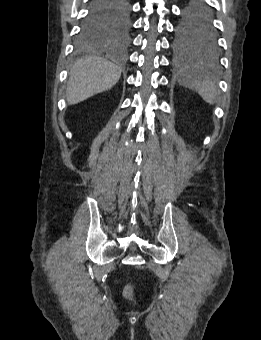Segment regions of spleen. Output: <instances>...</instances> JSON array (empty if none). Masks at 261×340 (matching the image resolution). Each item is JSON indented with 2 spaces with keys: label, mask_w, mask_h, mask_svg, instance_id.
Listing matches in <instances>:
<instances>
[{
  "label": "spleen",
  "mask_w": 261,
  "mask_h": 340,
  "mask_svg": "<svg viewBox=\"0 0 261 340\" xmlns=\"http://www.w3.org/2000/svg\"><path fill=\"white\" fill-rule=\"evenodd\" d=\"M181 84L189 89L195 90L204 101L213 105L217 101L218 91L215 83L204 77L202 71L197 67H190L182 73Z\"/></svg>",
  "instance_id": "obj_1"
}]
</instances>
